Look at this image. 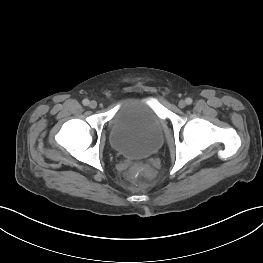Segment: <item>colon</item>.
I'll return each mask as SVG.
<instances>
[{"mask_svg": "<svg viewBox=\"0 0 263 263\" xmlns=\"http://www.w3.org/2000/svg\"><path fill=\"white\" fill-rule=\"evenodd\" d=\"M134 173L136 175H142V176H145V177H152L153 174H154L152 169L146 168V167H144L142 165L136 166L135 169H134Z\"/></svg>", "mask_w": 263, "mask_h": 263, "instance_id": "1", "label": "colon"}]
</instances>
